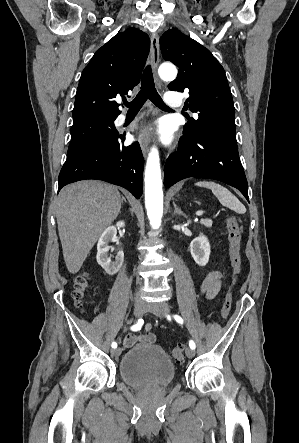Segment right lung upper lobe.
<instances>
[{
	"label": "right lung upper lobe",
	"instance_id": "right-lung-upper-lobe-1",
	"mask_svg": "<svg viewBox=\"0 0 299 443\" xmlns=\"http://www.w3.org/2000/svg\"><path fill=\"white\" fill-rule=\"evenodd\" d=\"M149 47L146 33L129 28L96 51L80 78L73 124L95 117H117L121 113L115 99L139 83Z\"/></svg>",
	"mask_w": 299,
	"mask_h": 443
}]
</instances>
